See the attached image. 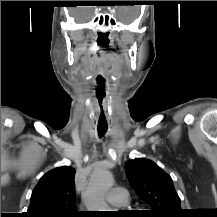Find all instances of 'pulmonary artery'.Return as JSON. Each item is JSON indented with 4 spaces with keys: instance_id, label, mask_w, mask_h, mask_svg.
I'll use <instances>...</instances> for the list:
<instances>
[{
    "instance_id": "e3ab8cb5",
    "label": "pulmonary artery",
    "mask_w": 217,
    "mask_h": 217,
    "mask_svg": "<svg viewBox=\"0 0 217 217\" xmlns=\"http://www.w3.org/2000/svg\"><path fill=\"white\" fill-rule=\"evenodd\" d=\"M106 200L116 207L126 206L129 201L127 190L123 187H115L107 194Z\"/></svg>"
}]
</instances>
